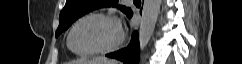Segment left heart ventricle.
<instances>
[{"instance_id":"left-heart-ventricle-1","label":"left heart ventricle","mask_w":242,"mask_h":64,"mask_svg":"<svg viewBox=\"0 0 242 64\" xmlns=\"http://www.w3.org/2000/svg\"><path fill=\"white\" fill-rule=\"evenodd\" d=\"M118 38L117 26L103 18H89L74 30L71 44L78 52L106 47Z\"/></svg>"}]
</instances>
